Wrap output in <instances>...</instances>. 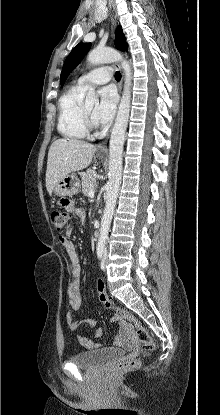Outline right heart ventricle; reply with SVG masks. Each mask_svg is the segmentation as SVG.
Returning a JSON list of instances; mask_svg holds the SVG:
<instances>
[{"instance_id": "right-heart-ventricle-1", "label": "right heart ventricle", "mask_w": 220, "mask_h": 415, "mask_svg": "<svg viewBox=\"0 0 220 415\" xmlns=\"http://www.w3.org/2000/svg\"><path fill=\"white\" fill-rule=\"evenodd\" d=\"M83 89L76 86L66 90L58 102L57 130L70 139H83L87 130L83 120Z\"/></svg>"}]
</instances>
